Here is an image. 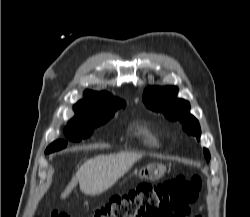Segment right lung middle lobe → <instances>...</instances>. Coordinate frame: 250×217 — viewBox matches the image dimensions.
Returning <instances> with one entry per match:
<instances>
[{
  "label": "right lung middle lobe",
  "instance_id": "right-lung-middle-lobe-1",
  "mask_svg": "<svg viewBox=\"0 0 250 217\" xmlns=\"http://www.w3.org/2000/svg\"><path fill=\"white\" fill-rule=\"evenodd\" d=\"M115 111L108 112L97 116L87 122H69L65 128V134L71 141H80L83 138L89 137L93 130L99 128L105 124L111 117H113ZM67 141L58 140L53 142L45 151L46 154L66 148Z\"/></svg>",
  "mask_w": 250,
  "mask_h": 217
}]
</instances>
